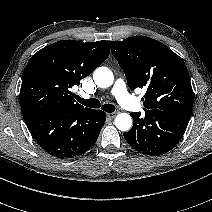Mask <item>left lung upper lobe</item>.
<instances>
[{"instance_id": "left-lung-upper-lobe-1", "label": "left lung upper lobe", "mask_w": 212, "mask_h": 212, "mask_svg": "<svg viewBox=\"0 0 212 212\" xmlns=\"http://www.w3.org/2000/svg\"><path fill=\"white\" fill-rule=\"evenodd\" d=\"M130 89H147L144 109L191 114L193 91L183 60L164 44L146 36L110 41Z\"/></svg>"}]
</instances>
